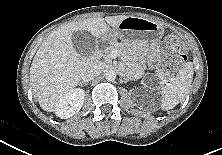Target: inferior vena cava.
Returning <instances> with one entry per match:
<instances>
[{"label":"inferior vena cava","instance_id":"obj_1","mask_svg":"<svg viewBox=\"0 0 222 155\" xmlns=\"http://www.w3.org/2000/svg\"><path fill=\"white\" fill-rule=\"evenodd\" d=\"M101 72H102V66L100 64H90L85 68H83L80 76L81 79H83V81L88 82L93 80Z\"/></svg>","mask_w":222,"mask_h":155}]
</instances>
